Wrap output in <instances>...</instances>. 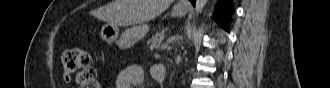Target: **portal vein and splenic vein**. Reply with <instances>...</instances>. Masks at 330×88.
Wrapping results in <instances>:
<instances>
[{"label": "portal vein and splenic vein", "instance_id": "18ae733b", "mask_svg": "<svg viewBox=\"0 0 330 88\" xmlns=\"http://www.w3.org/2000/svg\"><path fill=\"white\" fill-rule=\"evenodd\" d=\"M178 39V37L176 38V37H171V38H169L168 40H167V45L169 44V43H171V42H173L174 40H177Z\"/></svg>", "mask_w": 330, "mask_h": 88}]
</instances>
